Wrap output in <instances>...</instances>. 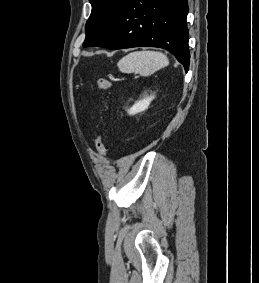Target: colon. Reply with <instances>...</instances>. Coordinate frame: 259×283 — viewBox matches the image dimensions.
<instances>
[{
	"label": "colon",
	"mask_w": 259,
	"mask_h": 283,
	"mask_svg": "<svg viewBox=\"0 0 259 283\" xmlns=\"http://www.w3.org/2000/svg\"><path fill=\"white\" fill-rule=\"evenodd\" d=\"M96 85L101 90H109L111 88V82L104 77H98L96 79ZM96 149L101 155L107 154L109 148L104 135H101L97 138Z\"/></svg>",
	"instance_id": "1"
}]
</instances>
